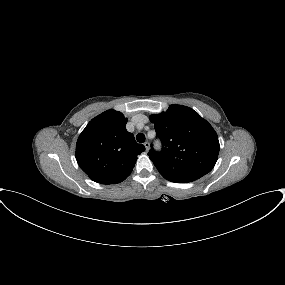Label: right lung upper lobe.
<instances>
[{"instance_id": "right-lung-upper-lobe-1", "label": "right lung upper lobe", "mask_w": 285, "mask_h": 285, "mask_svg": "<svg viewBox=\"0 0 285 285\" xmlns=\"http://www.w3.org/2000/svg\"><path fill=\"white\" fill-rule=\"evenodd\" d=\"M127 118L107 110L93 118L80 134L76 159L80 168L95 182L116 184L132 172L145 147L126 130Z\"/></svg>"}]
</instances>
